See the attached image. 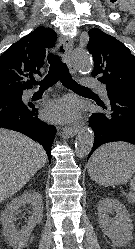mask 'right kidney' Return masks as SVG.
<instances>
[{
  "label": "right kidney",
  "instance_id": "obj_1",
  "mask_svg": "<svg viewBox=\"0 0 135 249\" xmlns=\"http://www.w3.org/2000/svg\"><path fill=\"white\" fill-rule=\"evenodd\" d=\"M31 205V216L27 220V226L17 230L14 225L15 216L18 215L22 206ZM43 202L42 196L37 192H25L21 196L14 198L5 208L1 215L3 231L7 241L13 249H22L29 240L34 227L42 221Z\"/></svg>",
  "mask_w": 135,
  "mask_h": 249
}]
</instances>
